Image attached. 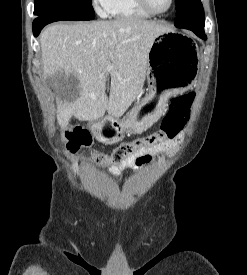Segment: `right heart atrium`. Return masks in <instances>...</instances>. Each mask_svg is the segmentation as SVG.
<instances>
[{"mask_svg": "<svg viewBox=\"0 0 247 275\" xmlns=\"http://www.w3.org/2000/svg\"><path fill=\"white\" fill-rule=\"evenodd\" d=\"M109 3L110 0H91L94 10L100 16H106L108 14Z\"/></svg>", "mask_w": 247, "mask_h": 275, "instance_id": "d8ad5b80", "label": "right heart atrium"}]
</instances>
